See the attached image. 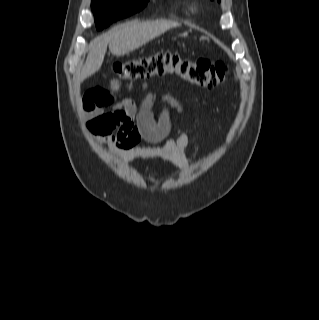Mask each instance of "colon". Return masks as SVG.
Returning a JSON list of instances; mask_svg holds the SVG:
<instances>
[{
	"mask_svg": "<svg viewBox=\"0 0 319 320\" xmlns=\"http://www.w3.org/2000/svg\"><path fill=\"white\" fill-rule=\"evenodd\" d=\"M113 72L119 84L175 74L190 84L213 88L225 81L228 66L204 57L192 58L176 52L163 51L135 60L117 62L113 65ZM119 131L125 136L128 145H136L141 141L160 142L168 134L165 128L157 127L149 120L135 123L129 118L123 119Z\"/></svg>",
	"mask_w": 319,
	"mask_h": 320,
	"instance_id": "1",
	"label": "colon"
}]
</instances>
